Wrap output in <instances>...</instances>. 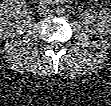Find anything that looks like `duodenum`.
<instances>
[{
  "mask_svg": "<svg viewBox=\"0 0 111 106\" xmlns=\"http://www.w3.org/2000/svg\"><path fill=\"white\" fill-rule=\"evenodd\" d=\"M55 2H57V3H65V2H67V0H55Z\"/></svg>",
  "mask_w": 111,
  "mask_h": 106,
  "instance_id": "1",
  "label": "duodenum"
}]
</instances>
